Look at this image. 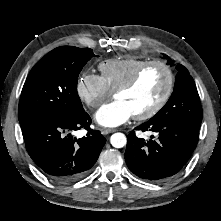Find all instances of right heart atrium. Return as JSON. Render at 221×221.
<instances>
[{
    "label": "right heart atrium",
    "mask_w": 221,
    "mask_h": 221,
    "mask_svg": "<svg viewBox=\"0 0 221 221\" xmlns=\"http://www.w3.org/2000/svg\"><path fill=\"white\" fill-rule=\"evenodd\" d=\"M75 89L79 99L90 108H98L111 95L101 77L90 72L78 77Z\"/></svg>",
    "instance_id": "1"
}]
</instances>
